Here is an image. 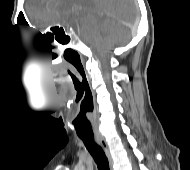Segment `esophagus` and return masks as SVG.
<instances>
[{"label": "esophagus", "instance_id": "obj_1", "mask_svg": "<svg viewBox=\"0 0 190 170\" xmlns=\"http://www.w3.org/2000/svg\"><path fill=\"white\" fill-rule=\"evenodd\" d=\"M95 141L103 149V151H104V153H105V155H106V157H107V159L109 161L110 167H111L112 166V157H111V154H110V151H109V148H108V145H107L105 139L100 135H95Z\"/></svg>", "mask_w": 190, "mask_h": 170}]
</instances>
